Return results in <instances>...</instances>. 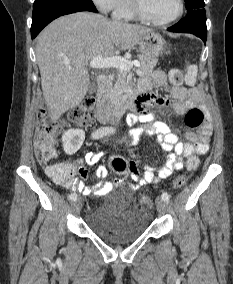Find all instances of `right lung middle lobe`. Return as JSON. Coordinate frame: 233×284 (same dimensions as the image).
I'll return each instance as SVG.
<instances>
[{"instance_id":"1","label":"right lung middle lobe","mask_w":233,"mask_h":284,"mask_svg":"<svg viewBox=\"0 0 233 284\" xmlns=\"http://www.w3.org/2000/svg\"><path fill=\"white\" fill-rule=\"evenodd\" d=\"M57 8L96 9L92 0H35L32 18Z\"/></svg>"}]
</instances>
